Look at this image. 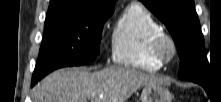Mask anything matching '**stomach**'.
<instances>
[{
	"mask_svg": "<svg viewBox=\"0 0 221 102\" xmlns=\"http://www.w3.org/2000/svg\"><path fill=\"white\" fill-rule=\"evenodd\" d=\"M172 94L162 84L147 85L141 93V102H171Z\"/></svg>",
	"mask_w": 221,
	"mask_h": 102,
	"instance_id": "obj_1",
	"label": "stomach"
}]
</instances>
